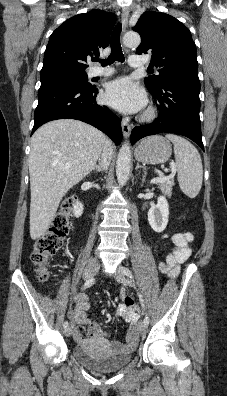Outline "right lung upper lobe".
I'll return each mask as SVG.
<instances>
[{
	"label": "right lung upper lobe",
	"instance_id": "1",
	"mask_svg": "<svg viewBox=\"0 0 227 396\" xmlns=\"http://www.w3.org/2000/svg\"><path fill=\"white\" fill-rule=\"evenodd\" d=\"M115 22V14L103 10H92L66 20L50 36L42 70H86L87 59L109 45Z\"/></svg>",
	"mask_w": 227,
	"mask_h": 396
}]
</instances>
